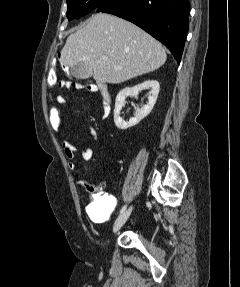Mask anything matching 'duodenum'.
<instances>
[{"mask_svg": "<svg viewBox=\"0 0 240 287\" xmlns=\"http://www.w3.org/2000/svg\"><path fill=\"white\" fill-rule=\"evenodd\" d=\"M98 88L101 91L104 99L107 102H110V95H109V90H108V84L107 83H99Z\"/></svg>", "mask_w": 240, "mask_h": 287, "instance_id": "410a0bca", "label": "duodenum"}]
</instances>
